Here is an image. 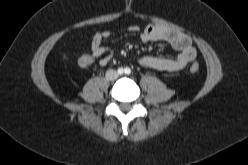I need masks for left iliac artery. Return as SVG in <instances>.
I'll return each instance as SVG.
<instances>
[{"instance_id":"obj_1","label":"left iliac artery","mask_w":248,"mask_h":165,"mask_svg":"<svg viewBox=\"0 0 248 165\" xmlns=\"http://www.w3.org/2000/svg\"><path fill=\"white\" fill-rule=\"evenodd\" d=\"M130 72H131V70H130L129 68H126V69H125V73H126V74H130Z\"/></svg>"}]
</instances>
